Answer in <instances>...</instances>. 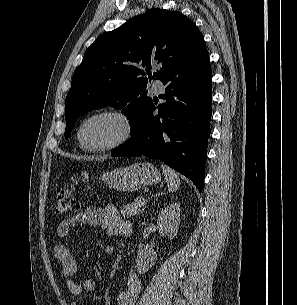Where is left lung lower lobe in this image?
<instances>
[{
	"label": "left lung lower lobe",
	"instance_id": "left-lung-lower-lobe-1",
	"mask_svg": "<svg viewBox=\"0 0 297 305\" xmlns=\"http://www.w3.org/2000/svg\"><path fill=\"white\" fill-rule=\"evenodd\" d=\"M160 98L142 112L131 130L132 137L111 152L113 156L145 155L159 159L185 175L202 191L207 142L210 136L212 70L175 72L163 81Z\"/></svg>",
	"mask_w": 297,
	"mask_h": 305
}]
</instances>
